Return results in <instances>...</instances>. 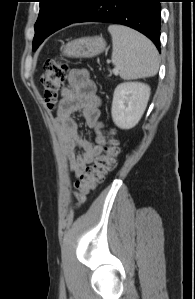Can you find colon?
I'll return each instance as SVG.
<instances>
[{
    "mask_svg": "<svg viewBox=\"0 0 195 299\" xmlns=\"http://www.w3.org/2000/svg\"><path fill=\"white\" fill-rule=\"evenodd\" d=\"M68 69V64L59 58H50L45 62L40 83L44 100L50 109H53L58 101ZM113 135V131L107 132L102 153L75 182L73 197L77 206L83 204L87 197L103 183L106 175L115 169L119 146Z\"/></svg>",
    "mask_w": 195,
    "mask_h": 299,
    "instance_id": "1",
    "label": "colon"
}]
</instances>
